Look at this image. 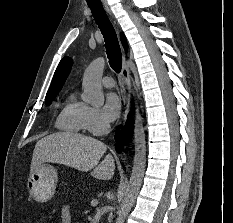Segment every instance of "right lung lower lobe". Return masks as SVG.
I'll return each instance as SVG.
<instances>
[{
    "label": "right lung lower lobe",
    "instance_id": "obj_1",
    "mask_svg": "<svg viewBox=\"0 0 233 223\" xmlns=\"http://www.w3.org/2000/svg\"><path fill=\"white\" fill-rule=\"evenodd\" d=\"M131 119V115H128V121L126 122L125 127L122 128V130H120L118 128L117 133L115 135V139H116V148L117 150H121L123 147V143L130 141L131 139V135H132V123L130 121Z\"/></svg>",
    "mask_w": 233,
    "mask_h": 223
}]
</instances>
